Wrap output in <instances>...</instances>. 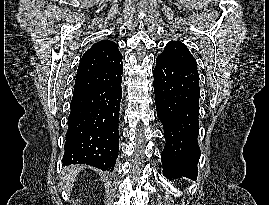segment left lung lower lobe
Here are the masks:
<instances>
[{
	"instance_id": "0a47b994",
	"label": "left lung lower lobe",
	"mask_w": 269,
	"mask_h": 205,
	"mask_svg": "<svg viewBox=\"0 0 269 205\" xmlns=\"http://www.w3.org/2000/svg\"><path fill=\"white\" fill-rule=\"evenodd\" d=\"M157 116L163 124L161 159L167 178H197L200 148L199 74L197 67L159 55L153 71Z\"/></svg>"
}]
</instances>
